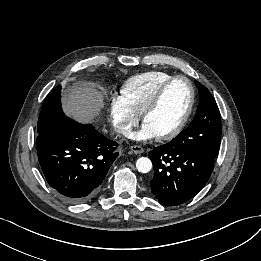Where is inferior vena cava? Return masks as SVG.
I'll return each instance as SVG.
<instances>
[{
    "mask_svg": "<svg viewBox=\"0 0 261 261\" xmlns=\"http://www.w3.org/2000/svg\"><path fill=\"white\" fill-rule=\"evenodd\" d=\"M115 131L118 133H122V134H127L130 132V130L126 126H123V125H117L115 127Z\"/></svg>",
    "mask_w": 261,
    "mask_h": 261,
    "instance_id": "obj_1",
    "label": "inferior vena cava"
}]
</instances>
